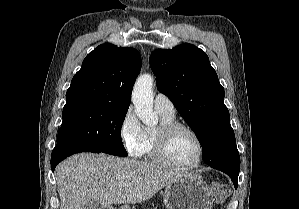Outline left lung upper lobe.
Segmentation results:
<instances>
[{"instance_id":"1","label":"left lung upper lobe","mask_w":299,"mask_h":209,"mask_svg":"<svg viewBox=\"0 0 299 209\" xmlns=\"http://www.w3.org/2000/svg\"><path fill=\"white\" fill-rule=\"evenodd\" d=\"M150 65L157 76L158 90L169 97L194 131L208 164L228 142L235 140L224 104V88L208 56L185 43L171 50L153 51Z\"/></svg>"}]
</instances>
